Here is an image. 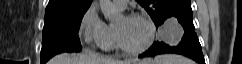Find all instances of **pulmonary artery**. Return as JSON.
Masks as SVG:
<instances>
[{"label": "pulmonary artery", "mask_w": 242, "mask_h": 64, "mask_svg": "<svg viewBox=\"0 0 242 64\" xmlns=\"http://www.w3.org/2000/svg\"><path fill=\"white\" fill-rule=\"evenodd\" d=\"M116 6L121 9H124L127 6L128 0H114Z\"/></svg>", "instance_id": "1"}]
</instances>
